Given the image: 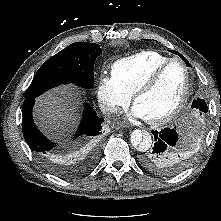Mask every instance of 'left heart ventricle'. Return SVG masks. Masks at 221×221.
Instances as JSON below:
<instances>
[{"mask_svg": "<svg viewBox=\"0 0 221 221\" xmlns=\"http://www.w3.org/2000/svg\"><path fill=\"white\" fill-rule=\"evenodd\" d=\"M186 85L184 67L179 62L171 64L155 87L136 101L147 118L161 117L179 102Z\"/></svg>", "mask_w": 221, "mask_h": 221, "instance_id": "1", "label": "left heart ventricle"}]
</instances>
